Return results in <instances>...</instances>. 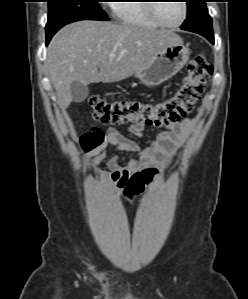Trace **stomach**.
<instances>
[{"label":"stomach","mask_w":248,"mask_h":299,"mask_svg":"<svg viewBox=\"0 0 248 299\" xmlns=\"http://www.w3.org/2000/svg\"><path fill=\"white\" fill-rule=\"evenodd\" d=\"M190 51L183 43L171 44L135 77L146 86H156L177 74L187 63Z\"/></svg>","instance_id":"1"}]
</instances>
